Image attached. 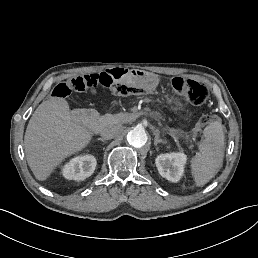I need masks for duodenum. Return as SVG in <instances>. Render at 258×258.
Masks as SVG:
<instances>
[{
    "instance_id": "410a0bca",
    "label": "duodenum",
    "mask_w": 258,
    "mask_h": 258,
    "mask_svg": "<svg viewBox=\"0 0 258 258\" xmlns=\"http://www.w3.org/2000/svg\"><path fill=\"white\" fill-rule=\"evenodd\" d=\"M101 75L103 80L109 84L125 82L135 78L134 71L125 67H113Z\"/></svg>"
}]
</instances>
